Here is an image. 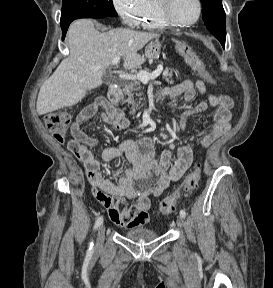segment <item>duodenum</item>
<instances>
[{
    "instance_id": "410a0bca",
    "label": "duodenum",
    "mask_w": 273,
    "mask_h": 288,
    "mask_svg": "<svg viewBox=\"0 0 273 288\" xmlns=\"http://www.w3.org/2000/svg\"><path fill=\"white\" fill-rule=\"evenodd\" d=\"M120 96H121V91H120L119 88L112 87V88L109 89V91H108V101H109L110 106L108 108L110 110H113V109L116 108V106H117V104L119 102ZM99 104L103 105V102L99 101Z\"/></svg>"
}]
</instances>
